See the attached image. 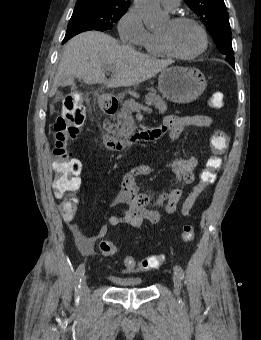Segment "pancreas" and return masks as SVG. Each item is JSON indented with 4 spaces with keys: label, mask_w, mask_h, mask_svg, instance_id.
Returning a JSON list of instances; mask_svg holds the SVG:
<instances>
[{
    "label": "pancreas",
    "mask_w": 261,
    "mask_h": 340,
    "mask_svg": "<svg viewBox=\"0 0 261 340\" xmlns=\"http://www.w3.org/2000/svg\"><path fill=\"white\" fill-rule=\"evenodd\" d=\"M145 99L148 103L153 104L156 109H158L160 114H164L167 111V104L162 97L157 95L154 89H151L150 92L145 96ZM134 101L133 99L127 100L122 104V108L119 113H117L114 118L117 120V123L114 124L115 130L114 135L118 139H126L132 131L135 129L134 119L132 117V112L134 111L130 102Z\"/></svg>",
    "instance_id": "1"
}]
</instances>
